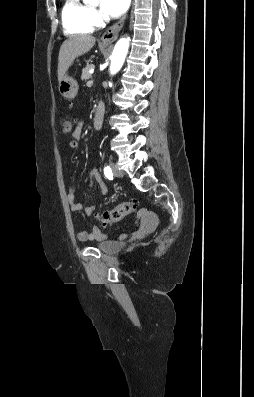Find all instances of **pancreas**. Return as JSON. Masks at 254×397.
<instances>
[{
	"instance_id": "obj_1",
	"label": "pancreas",
	"mask_w": 254,
	"mask_h": 397,
	"mask_svg": "<svg viewBox=\"0 0 254 397\" xmlns=\"http://www.w3.org/2000/svg\"><path fill=\"white\" fill-rule=\"evenodd\" d=\"M93 68H94L93 64H87L82 70L81 79L84 81H87L88 79H90L91 74L89 73V70L93 69Z\"/></svg>"
}]
</instances>
